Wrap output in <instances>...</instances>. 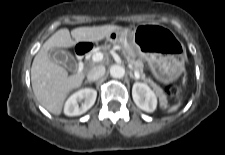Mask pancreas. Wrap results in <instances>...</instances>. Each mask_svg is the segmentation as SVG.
<instances>
[{"instance_id":"cf45deb5","label":"pancreas","mask_w":225,"mask_h":155,"mask_svg":"<svg viewBox=\"0 0 225 155\" xmlns=\"http://www.w3.org/2000/svg\"><path fill=\"white\" fill-rule=\"evenodd\" d=\"M100 49L103 52H106L107 50L110 49V46L104 45V46H101ZM127 60L131 64V69L139 72L140 79L143 80L145 83L150 84L156 90L162 106H167V97L164 94L163 90L160 87H158L150 78H147L146 75L144 74V72H143L144 65H143L142 60L135 59L134 57H131L129 55H127Z\"/></svg>"}]
</instances>
